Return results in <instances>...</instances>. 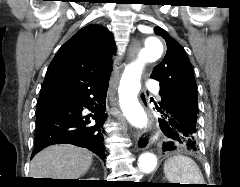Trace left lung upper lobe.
I'll return each mask as SVG.
<instances>
[{
	"instance_id": "5c2ea615",
	"label": "left lung upper lobe",
	"mask_w": 240,
	"mask_h": 187,
	"mask_svg": "<svg viewBox=\"0 0 240 187\" xmlns=\"http://www.w3.org/2000/svg\"><path fill=\"white\" fill-rule=\"evenodd\" d=\"M157 35L167 44L162 62L153 68L151 78L160 82V96L198 113L197 84L192 65L183 47L164 29L155 27Z\"/></svg>"
}]
</instances>
